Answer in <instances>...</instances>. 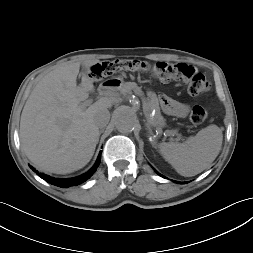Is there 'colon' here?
<instances>
[{
    "instance_id": "colon-1",
    "label": "colon",
    "mask_w": 253,
    "mask_h": 253,
    "mask_svg": "<svg viewBox=\"0 0 253 253\" xmlns=\"http://www.w3.org/2000/svg\"><path fill=\"white\" fill-rule=\"evenodd\" d=\"M120 71H132L149 74L163 81L178 80L183 82L189 94L201 95L210 88L207 78L193 66L185 63L156 62L151 64L139 59H117L102 61L91 68V77L101 80ZM207 118L206 110L196 105L190 113V120L194 125L202 124Z\"/></svg>"
}]
</instances>
